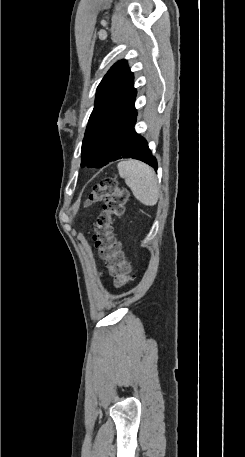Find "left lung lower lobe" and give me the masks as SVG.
<instances>
[{"instance_id":"0a47b994","label":"left lung lower lobe","mask_w":245,"mask_h":457,"mask_svg":"<svg viewBox=\"0 0 245 457\" xmlns=\"http://www.w3.org/2000/svg\"><path fill=\"white\" fill-rule=\"evenodd\" d=\"M137 112H126L89 131L82 144L81 166L100 168L121 158L141 160L157 171L147 141L135 132Z\"/></svg>"}]
</instances>
